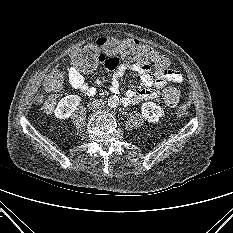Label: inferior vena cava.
Segmentation results:
<instances>
[{
	"label": "inferior vena cava",
	"mask_w": 233,
	"mask_h": 233,
	"mask_svg": "<svg viewBox=\"0 0 233 233\" xmlns=\"http://www.w3.org/2000/svg\"><path fill=\"white\" fill-rule=\"evenodd\" d=\"M104 102H103V100H94L93 102H92V110L94 111V112H98V111H100L101 109H102V107H104Z\"/></svg>",
	"instance_id": "1"
}]
</instances>
